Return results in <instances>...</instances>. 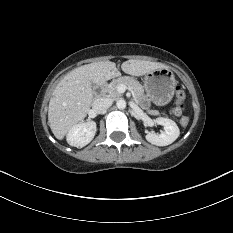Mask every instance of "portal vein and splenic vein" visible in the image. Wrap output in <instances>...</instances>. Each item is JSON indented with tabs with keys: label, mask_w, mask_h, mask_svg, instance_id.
<instances>
[{
	"label": "portal vein and splenic vein",
	"mask_w": 233,
	"mask_h": 233,
	"mask_svg": "<svg viewBox=\"0 0 233 233\" xmlns=\"http://www.w3.org/2000/svg\"><path fill=\"white\" fill-rule=\"evenodd\" d=\"M126 89H127V87L124 86V85H119V86H118V91H119L120 93L125 92Z\"/></svg>",
	"instance_id": "1"
}]
</instances>
